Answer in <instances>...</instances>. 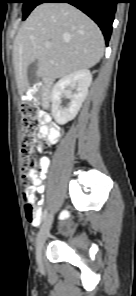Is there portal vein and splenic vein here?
Segmentation results:
<instances>
[{"mask_svg": "<svg viewBox=\"0 0 136 296\" xmlns=\"http://www.w3.org/2000/svg\"><path fill=\"white\" fill-rule=\"evenodd\" d=\"M44 46L47 47V48H49V47L51 46V44H50L49 42H46V43L44 44Z\"/></svg>", "mask_w": 136, "mask_h": 296, "instance_id": "portal-vein-and-splenic-vein-1", "label": "portal vein and splenic vein"}]
</instances>
